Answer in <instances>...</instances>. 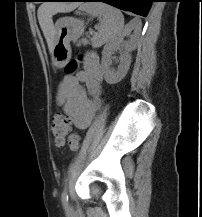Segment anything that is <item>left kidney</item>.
<instances>
[{"label": "left kidney", "instance_id": "obj_1", "mask_svg": "<svg viewBox=\"0 0 202 217\" xmlns=\"http://www.w3.org/2000/svg\"><path fill=\"white\" fill-rule=\"evenodd\" d=\"M132 30L139 31L140 27H138L134 22H130L121 33L104 46L101 64L104 78L108 84H116L120 82L129 70L131 64L130 52L136 47V42L134 40L135 36H131V40L122 45L124 51L120 57V65L118 66V69L115 70L111 68V64L112 54L120 48L124 36L130 34Z\"/></svg>", "mask_w": 202, "mask_h": 217}]
</instances>
